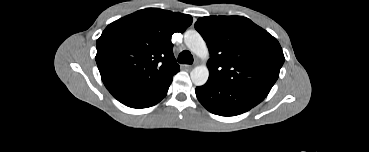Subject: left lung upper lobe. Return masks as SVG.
Segmentation results:
<instances>
[{
  "label": "left lung upper lobe",
  "instance_id": "left-lung-upper-lobe-1",
  "mask_svg": "<svg viewBox=\"0 0 369 152\" xmlns=\"http://www.w3.org/2000/svg\"><path fill=\"white\" fill-rule=\"evenodd\" d=\"M195 28L209 48L210 80L268 95L285 60L271 34L242 16L202 17Z\"/></svg>",
  "mask_w": 369,
  "mask_h": 152
}]
</instances>
